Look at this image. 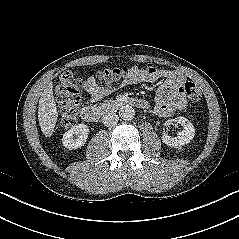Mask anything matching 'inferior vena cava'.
I'll use <instances>...</instances> for the list:
<instances>
[{"mask_svg":"<svg viewBox=\"0 0 239 239\" xmlns=\"http://www.w3.org/2000/svg\"><path fill=\"white\" fill-rule=\"evenodd\" d=\"M118 120L119 117L114 112H108L102 117V122L105 126H114Z\"/></svg>","mask_w":239,"mask_h":239,"instance_id":"1","label":"inferior vena cava"}]
</instances>
